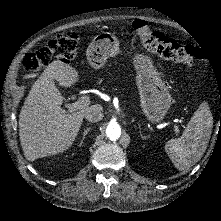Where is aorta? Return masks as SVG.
Returning a JSON list of instances; mask_svg holds the SVG:
<instances>
[{"label": "aorta", "mask_w": 221, "mask_h": 221, "mask_svg": "<svg viewBox=\"0 0 221 221\" xmlns=\"http://www.w3.org/2000/svg\"><path fill=\"white\" fill-rule=\"evenodd\" d=\"M106 135L111 141H116L121 136L120 125L116 122H110L106 128Z\"/></svg>", "instance_id": "1"}]
</instances>
